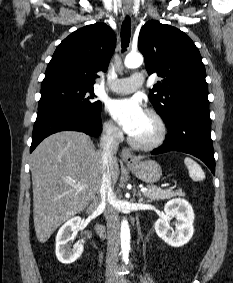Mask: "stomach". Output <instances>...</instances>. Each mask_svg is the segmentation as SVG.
Segmentation results:
<instances>
[{
	"label": "stomach",
	"instance_id": "stomach-1",
	"mask_svg": "<svg viewBox=\"0 0 233 283\" xmlns=\"http://www.w3.org/2000/svg\"><path fill=\"white\" fill-rule=\"evenodd\" d=\"M128 167L137 178L146 183H156L162 176L160 165L153 160L138 161L134 164H129Z\"/></svg>",
	"mask_w": 233,
	"mask_h": 283
}]
</instances>
